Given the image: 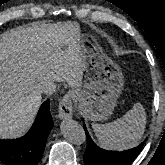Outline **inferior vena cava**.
Wrapping results in <instances>:
<instances>
[{"mask_svg": "<svg viewBox=\"0 0 165 165\" xmlns=\"http://www.w3.org/2000/svg\"><path fill=\"white\" fill-rule=\"evenodd\" d=\"M56 91L55 83L51 81L44 82L41 88V92L46 95H52Z\"/></svg>", "mask_w": 165, "mask_h": 165, "instance_id": "obj_1", "label": "inferior vena cava"}]
</instances>
